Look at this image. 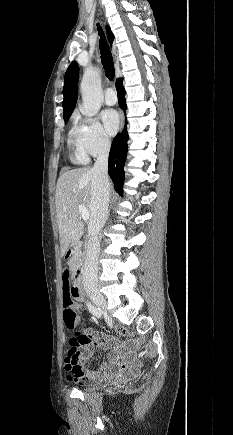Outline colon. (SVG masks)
Segmentation results:
<instances>
[{"label": "colon", "instance_id": "1", "mask_svg": "<svg viewBox=\"0 0 233 435\" xmlns=\"http://www.w3.org/2000/svg\"><path fill=\"white\" fill-rule=\"evenodd\" d=\"M71 272L69 269L64 268L62 272V281L64 283L70 282ZM63 304L65 306V310L63 313L64 323L67 329L73 330L78 321V313L75 306V303L72 300L71 295L65 293L63 297ZM117 332L123 336H130L131 333L127 331L123 327H117ZM83 337L75 334L71 336L68 340V352L66 356V361L72 364H79L82 362L81 353L78 349L79 344L83 341Z\"/></svg>", "mask_w": 233, "mask_h": 435}]
</instances>
